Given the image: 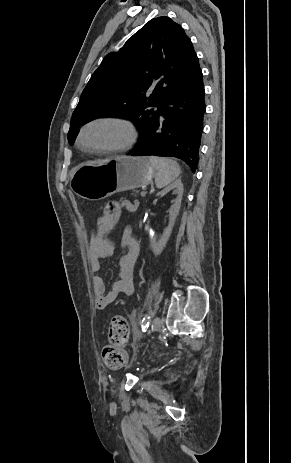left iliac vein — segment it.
Wrapping results in <instances>:
<instances>
[{"instance_id":"4c4485c4","label":"left iliac vein","mask_w":291,"mask_h":463,"mask_svg":"<svg viewBox=\"0 0 291 463\" xmlns=\"http://www.w3.org/2000/svg\"><path fill=\"white\" fill-rule=\"evenodd\" d=\"M161 328V319L160 317H155L152 325H151V332H158Z\"/></svg>"}]
</instances>
